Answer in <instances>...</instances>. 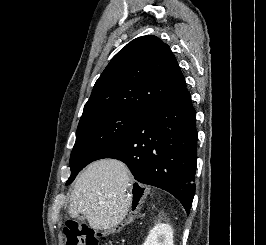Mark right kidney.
Listing matches in <instances>:
<instances>
[{
  "label": "right kidney",
  "mask_w": 266,
  "mask_h": 245,
  "mask_svg": "<svg viewBox=\"0 0 266 245\" xmlns=\"http://www.w3.org/2000/svg\"><path fill=\"white\" fill-rule=\"evenodd\" d=\"M143 245H157L156 225L153 227V229H151V231H149V235Z\"/></svg>",
  "instance_id": "1"
}]
</instances>
